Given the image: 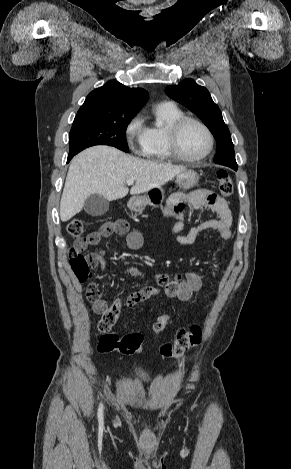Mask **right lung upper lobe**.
<instances>
[{"mask_svg":"<svg viewBox=\"0 0 291 469\" xmlns=\"http://www.w3.org/2000/svg\"><path fill=\"white\" fill-rule=\"evenodd\" d=\"M148 92L129 88L117 81H108L93 90L78 110V115L132 117L145 105Z\"/></svg>","mask_w":291,"mask_h":469,"instance_id":"obj_1","label":"right lung upper lobe"}]
</instances>
